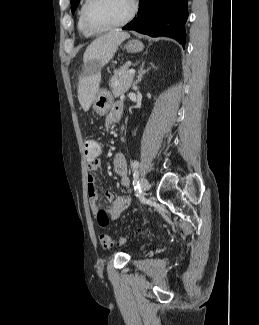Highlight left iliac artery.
Returning <instances> with one entry per match:
<instances>
[{
  "mask_svg": "<svg viewBox=\"0 0 259 325\" xmlns=\"http://www.w3.org/2000/svg\"><path fill=\"white\" fill-rule=\"evenodd\" d=\"M131 167H132V169H133V168H139V162L136 161V160L133 161L132 164H131Z\"/></svg>",
  "mask_w": 259,
  "mask_h": 325,
  "instance_id": "left-iliac-artery-1",
  "label": "left iliac artery"
}]
</instances>
